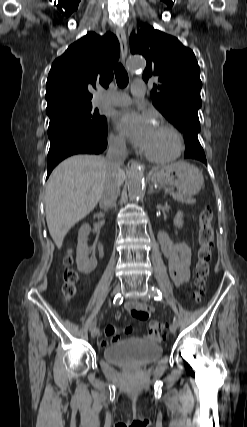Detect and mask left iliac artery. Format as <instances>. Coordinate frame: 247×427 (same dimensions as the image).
<instances>
[{"instance_id":"left-iliac-artery-1","label":"left iliac artery","mask_w":247,"mask_h":427,"mask_svg":"<svg viewBox=\"0 0 247 427\" xmlns=\"http://www.w3.org/2000/svg\"><path fill=\"white\" fill-rule=\"evenodd\" d=\"M150 296L153 297L155 300H161L162 299V293L156 287H152V289L149 292V297ZM173 323H176L178 325V319L176 317L173 318Z\"/></svg>"}]
</instances>
